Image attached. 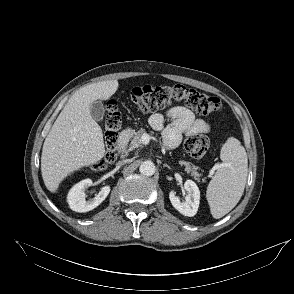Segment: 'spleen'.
Segmentation results:
<instances>
[{
	"mask_svg": "<svg viewBox=\"0 0 294 294\" xmlns=\"http://www.w3.org/2000/svg\"><path fill=\"white\" fill-rule=\"evenodd\" d=\"M222 164L207 188V201L211 214L219 219L239 202L245 188L248 159L244 147L233 137L221 148Z\"/></svg>",
	"mask_w": 294,
	"mask_h": 294,
	"instance_id": "obj_1",
	"label": "spleen"
}]
</instances>
